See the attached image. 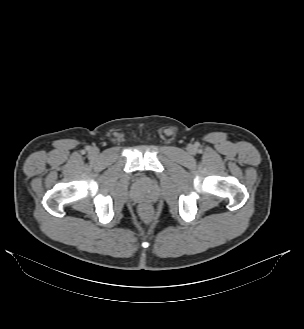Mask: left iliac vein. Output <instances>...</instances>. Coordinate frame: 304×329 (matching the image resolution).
<instances>
[{
  "label": "left iliac vein",
  "instance_id": "obj_1",
  "mask_svg": "<svg viewBox=\"0 0 304 329\" xmlns=\"http://www.w3.org/2000/svg\"><path fill=\"white\" fill-rule=\"evenodd\" d=\"M188 150H189L190 153H193L194 152V147L193 146H189Z\"/></svg>",
  "mask_w": 304,
  "mask_h": 329
}]
</instances>
